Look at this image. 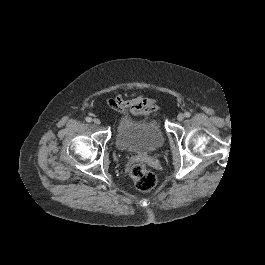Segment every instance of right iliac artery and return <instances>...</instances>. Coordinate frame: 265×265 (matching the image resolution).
<instances>
[{
    "label": "right iliac artery",
    "instance_id": "obj_1",
    "mask_svg": "<svg viewBox=\"0 0 265 265\" xmlns=\"http://www.w3.org/2000/svg\"><path fill=\"white\" fill-rule=\"evenodd\" d=\"M85 120H86V122H91L92 118L91 117H87Z\"/></svg>",
    "mask_w": 265,
    "mask_h": 265
}]
</instances>
